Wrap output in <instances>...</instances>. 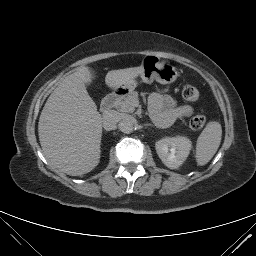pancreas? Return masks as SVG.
Masks as SVG:
<instances>
[{
    "label": "pancreas",
    "mask_w": 256,
    "mask_h": 256,
    "mask_svg": "<svg viewBox=\"0 0 256 256\" xmlns=\"http://www.w3.org/2000/svg\"><path fill=\"white\" fill-rule=\"evenodd\" d=\"M138 101V93L132 92L122 101L116 104V109L120 112L133 113L136 107V102Z\"/></svg>",
    "instance_id": "pancreas-1"
}]
</instances>
